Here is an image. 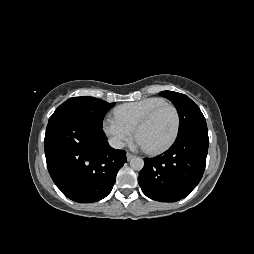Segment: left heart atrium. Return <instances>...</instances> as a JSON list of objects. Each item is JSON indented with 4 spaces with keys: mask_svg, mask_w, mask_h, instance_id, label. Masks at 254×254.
<instances>
[{
    "mask_svg": "<svg viewBox=\"0 0 254 254\" xmlns=\"http://www.w3.org/2000/svg\"><path fill=\"white\" fill-rule=\"evenodd\" d=\"M135 146L139 148L147 149V146L144 143V141L138 136L135 139Z\"/></svg>",
    "mask_w": 254,
    "mask_h": 254,
    "instance_id": "1",
    "label": "left heart atrium"
}]
</instances>
